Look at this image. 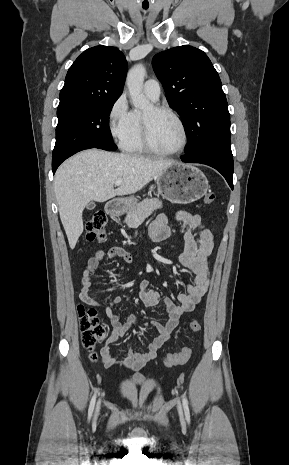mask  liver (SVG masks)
<instances>
[{
  "label": "liver",
  "mask_w": 289,
  "mask_h": 465,
  "mask_svg": "<svg viewBox=\"0 0 289 465\" xmlns=\"http://www.w3.org/2000/svg\"><path fill=\"white\" fill-rule=\"evenodd\" d=\"M99 149L82 151L63 162L54 178L59 215L71 249L83 232L82 213L91 200L105 202L140 191L174 164ZM123 183L114 189L117 180Z\"/></svg>",
  "instance_id": "obj_1"
}]
</instances>
